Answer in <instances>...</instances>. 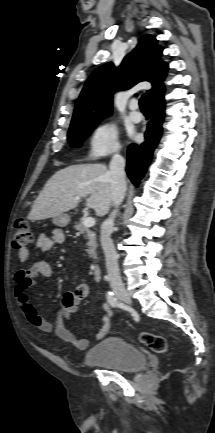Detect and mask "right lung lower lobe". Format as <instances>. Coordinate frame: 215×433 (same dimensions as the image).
<instances>
[{"instance_id":"98d812e1","label":"right lung lower lobe","mask_w":215,"mask_h":433,"mask_svg":"<svg viewBox=\"0 0 215 433\" xmlns=\"http://www.w3.org/2000/svg\"><path fill=\"white\" fill-rule=\"evenodd\" d=\"M164 92L150 103L152 119L145 132L146 141L141 145L130 144L127 151L126 172L135 186H138L152 159V154L162 135V122L165 115Z\"/></svg>"}]
</instances>
